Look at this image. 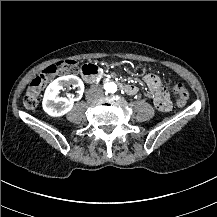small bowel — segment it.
<instances>
[{"label": "small bowel", "instance_id": "small-bowel-1", "mask_svg": "<svg viewBox=\"0 0 217 217\" xmlns=\"http://www.w3.org/2000/svg\"><path fill=\"white\" fill-rule=\"evenodd\" d=\"M93 69H97V67L93 66L91 70ZM144 81L152 88V98L157 108L162 112H169L172 106L168 100L166 92L163 90L159 82L158 77L155 75L148 74L144 76Z\"/></svg>", "mask_w": 217, "mask_h": 217}]
</instances>
